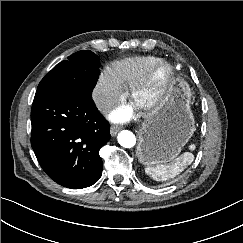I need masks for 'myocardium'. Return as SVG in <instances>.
<instances>
[{
    "mask_svg": "<svg viewBox=\"0 0 243 243\" xmlns=\"http://www.w3.org/2000/svg\"><path fill=\"white\" fill-rule=\"evenodd\" d=\"M161 69L165 70V75L157 91L149 98L138 101V97L152 85L157 73ZM175 74V68L170 62L164 59L157 60L143 77L129 88L127 94L129 101L144 114L155 113L163 105L174 82Z\"/></svg>",
    "mask_w": 243,
    "mask_h": 243,
    "instance_id": "myocardium-1",
    "label": "myocardium"
}]
</instances>
